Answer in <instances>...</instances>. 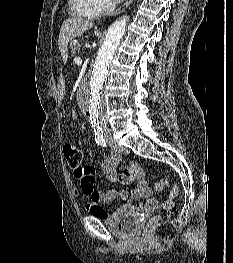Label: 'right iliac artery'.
Returning <instances> with one entry per match:
<instances>
[{"instance_id":"82829eb1","label":"right iliac artery","mask_w":233,"mask_h":263,"mask_svg":"<svg viewBox=\"0 0 233 263\" xmlns=\"http://www.w3.org/2000/svg\"><path fill=\"white\" fill-rule=\"evenodd\" d=\"M95 141L100 147H106L107 145L103 133H95Z\"/></svg>"}]
</instances>
